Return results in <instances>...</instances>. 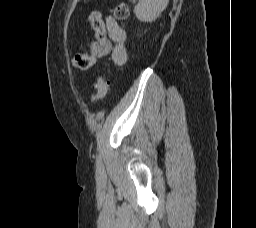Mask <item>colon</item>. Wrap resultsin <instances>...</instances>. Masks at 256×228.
Here are the masks:
<instances>
[{"label":"colon","mask_w":256,"mask_h":228,"mask_svg":"<svg viewBox=\"0 0 256 228\" xmlns=\"http://www.w3.org/2000/svg\"><path fill=\"white\" fill-rule=\"evenodd\" d=\"M113 15L118 20H124L129 16V7L125 2L119 3L113 11ZM89 22L94 30L95 38L103 41L105 37V25L99 11L93 10L89 14ZM73 65L80 69H87L96 62V57L92 54H77L73 57ZM109 92V82L102 76L97 81V92L93 96L92 101L96 102L103 99Z\"/></svg>","instance_id":"obj_1"}]
</instances>
